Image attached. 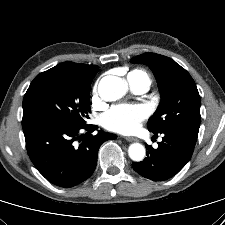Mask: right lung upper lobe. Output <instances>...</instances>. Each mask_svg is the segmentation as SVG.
<instances>
[{"label":"right lung upper lobe","mask_w":225,"mask_h":225,"mask_svg":"<svg viewBox=\"0 0 225 225\" xmlns=\"http://www.w3.org/2000/svg\"><path fill=\"white\" fill-rule=\"evenodd\" d=\"M62 64L72 65L75 67L86 68V69H90V70L98 69V67L96 65H87V64H81V63L77 64V63H73V62H64Z\"/></svg>","instance_id":"obj_1"}]
</instances>
